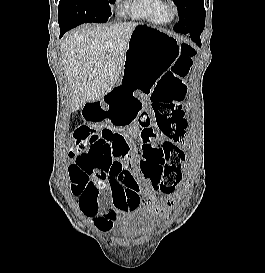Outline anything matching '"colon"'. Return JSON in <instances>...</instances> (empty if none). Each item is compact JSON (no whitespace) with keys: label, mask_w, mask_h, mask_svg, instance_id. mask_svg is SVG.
Wrapping results in <instances>:
<instances>
[{"label":"colon","mask_w":265,"mask_h":273,"mask_svg":"<svg viewBox=\"0 0 265 273\" xmlns=\"http://www.w3.org/2000/svg\"><path fill=\"white\" fill-rule=\"evenodd\" d=\"M196 51L189 45L181 47L172 66L160 77L152 93L151 111L144 110L138 121L143 129L158 128L165 138L156 151L159 159L167 163L151 178L153 188L161 195L170 196L182 178V163L185 152L181 148L187 132L186 109L183 101L187 91L185 79L191 69ZM118 136L110 129H75L74 149L70 157L74 162L68 172L74 195L86 192L92 196L98 193V184L92 181V174L103 173L111 164L110 142ZM174 203L168 200V206Z\"/></svg>","instance_id":"colon-1"}]
</instances>
